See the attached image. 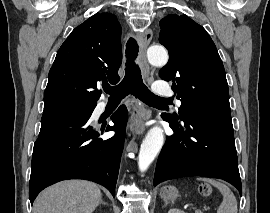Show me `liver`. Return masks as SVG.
<instances>
[{
  "instance_id": "liver-1",
  "label": "liver",
  "mask_w": 270,
  "mask_h": 213,
  "mask_svg": "<svg viewBox=\"0 0 270 213\" xmlns=\"http://www.w3.org/2000/svg\"><path fill=\"white\" fill-rule=\"evenodd\" d=\"M102 198L94 183L69 180L44 190L35 200L33 213H92Z\"/></svg>"
}]
</instances>
